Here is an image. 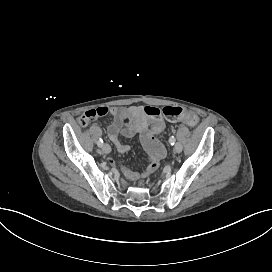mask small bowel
Listing matches in <instances>:
<instances>
[{"mask_svg": "<svg viewBox=\"0 0 272 272\" xmlns=\"http://www.w3.org/2000/svg\"><path fill=\"white\" fill-rule=\"evenodd\" d=\"M144 111L145 107L140 105L112 107L110 109V114L113 117V121L108 124L107 133L118 152L122 154L129 151V146L122 143L119 136L123 135L127 138L138 136L150 156L151 164L157 165L159 160L164 156L165 151L156 138L157 131L154 128V124H163V121L159 118L156 122H149L145 117ZM178 120L187 124L182 118H179ZM107 163L110 166H114V162L111 159H108ZM147 169L143 173H139L124 168V175L127 180L135 182L151 174L148 173Z\"/></svg>", "mask_w": 272, "mask_h": 272, "instance_id": "c3829d8e", "label": "small bowel"}]
</instances>
